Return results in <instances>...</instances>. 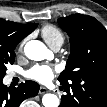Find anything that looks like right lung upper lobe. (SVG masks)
I'll list each match as a JSON object with an SVG mask.
<instances>
[{
	"label": "right lung upper lobe",
	"mask_w": 107,
	"mask_h": 107,
	"mask_svg": "<svg viewBox=\"0 0 107 107\" xmlns=\"http://www.w3.org/2000/svg\"><path fill=\"white\" fill-rule=\"evenodd\" d=\"M36 27V23L24 25L0 19V61L14 58L17 44Z\"/></svg>",
	"instance_id": "1"
}]
</instances>
